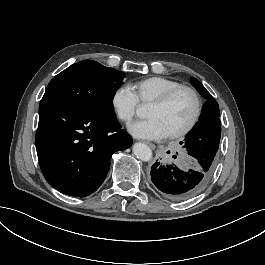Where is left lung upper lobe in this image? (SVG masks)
Wrapping results in <instances>:
<instances>
[{
    "mask_svg": "<svg viewBox=\"0 0 265 265\" xmlns=\"http://www.w3.org/2000/svg\"><path fill=\"white\" fill-rule=\"evenodd\" d=\"M197 91L207 100L202 108L201 116L193 129L187 134L184 147L188 154L196 160L214 158L219 148L221 122L218 103L204 88L200 81L191 78ZM181 144H183L181 142Z\"/></svg>",
    "mask_w": 265,
    "mask_h": 265,
    "instance_id": "obj_1",
    "label": "left lung upper lobe"
}]
</instances>
